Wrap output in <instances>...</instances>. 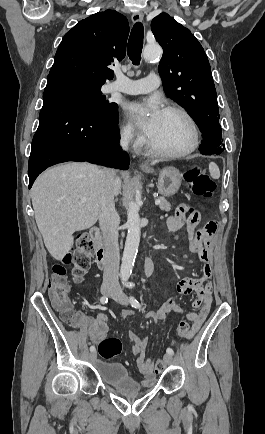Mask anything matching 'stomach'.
I'll return each instance as SVG.
<instances>
[{"label":"stomach","mask_w":265,"mask_h":434,"mask_svg":"<svg viewBox=\"0 0 265 434\" xmlns=\"http://www.w3.org/2000/svg\"><path fill=\"white\" fill-rule=\"evenodd\" d=\"M144 172H153L152 168L141 166ZM182 178L177 168H163L158 178V192L161 196H174L181 186Z\"/></svg>","instance_id":"0dacf381"}]
</instances>
